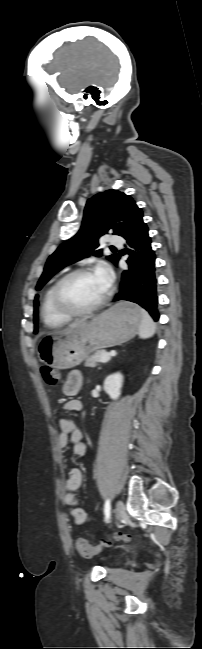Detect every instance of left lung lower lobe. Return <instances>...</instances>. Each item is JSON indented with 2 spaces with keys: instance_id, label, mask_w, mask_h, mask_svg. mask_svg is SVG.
<instances>
[{
  "instance_id": "obj_1",
  "label": "left lung lower lobe",
  "mask_w": 202,
  "mask_h": 649,
  "mask_svg": "<svg viewBox=\"0 0 202 649\" xmlns=\"http://www.w3.org/2000/svg\"><path fill=\"white\" fill-rule=\"evenodd\" d=\"M128 245L130 256L127 260L129 268L121 272V282L114 301L128 300L145 308L152 318L157 321V279L155 267V253L151 248V239L148 227L143 222L142 216L137 217L122 235ZM117 257L115 263L118 262Z\"/></svg>"
}]
</instances>
